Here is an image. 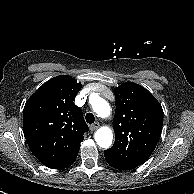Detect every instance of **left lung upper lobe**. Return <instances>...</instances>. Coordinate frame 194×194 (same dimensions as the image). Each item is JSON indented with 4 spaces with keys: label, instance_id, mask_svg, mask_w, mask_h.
<instances>
[{
    "label": "left lung upper lobe",
    "instance_id": "left-lung-upper-lobe-1",
    "mask_svg": "<svg viewBox=\"0 0 194 194\" xmlns=\"http://www.w3.org/2000/svg\"><path fill=\"white\" fill-rule=\"evenodd\" d=\"M114 94L115 143L104 155L137 167L149 158L160 139L163 110L147 89L133 82L115 88Z\"/></svg>",
    "mask_w": 194,
    "mask_h": 194
}]
</instances>
